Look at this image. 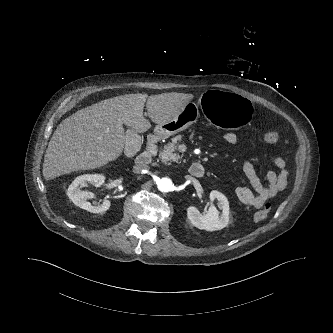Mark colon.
<instances>
[{
    "mask_svg": "<svg viewBox=\"0 0 333 333\" xmlns=\"http://www.w3.org/2000/svg\"><path fill=\"white\" fill-rule=\"evenodd\" d=\"M278 138H279V136L276 131H267L264 134L263 140H264V142H266L268 144H273L278 141ZM271 209H272V204L270 202H267L264 205L262 210L255 213V215H254L255 221L259 222V221L264 220L268 216Z\"/></svg>",
    "mask_w": 333,
    "mask_h": 333,
    "instance_id": "5ec220e1",
    "label": "colon"
}]
</instances>
